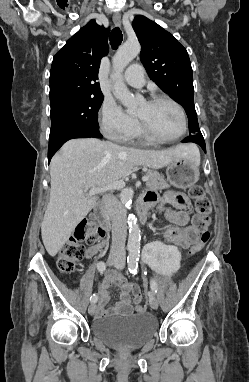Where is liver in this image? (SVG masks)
Masks as SVG:
<instances>
[{
	"label": "liver",
	"instance_id": "6515ba94",
	"mask_svg": "<svg viewBox=\"0 0 249 382\" xmlns=\"http://www.w3.org/2000/svg\"><path fill=\"white\" fill-rule=\"evenodd\" d=\"M182 156L200 154L194 145L161 151L122 147L96 138L67 141L50 163V199L41 224L43 244L54 257L96 204L89 189L104 188L129 175L134 166L160 169Z\"/></svg>",
	"mask_w": 249,
	"mask_h": 382
}]
</instances>
